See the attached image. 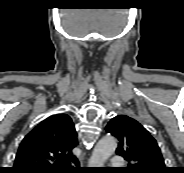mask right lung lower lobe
Instances as JSON below:
<instances>
[{
  "instance_id": "right-lung-lower-lobe-1",
  "label": "right lung lower lobe",
  "mask_w": 184,
  "mask_h": 173,
  "mask_svg": "<svg viewBox=\"0 0 184 173\" xmlns=\"http://www.w3.org/2000/svg\"><path fill=\"white\" fill-rule=\"evenodd\" d=\"M75 172H79V171L78 170H73L71 168H68V169L62 171L61 173H75Z\"/></svg>"
}]
</instances>
